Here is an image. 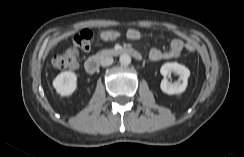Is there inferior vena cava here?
Listing matches in <instances>:
<instances>
[{"label": "inferior vena cava", "mask_w": 244, "mask_h": 157, "mask_svg": "<svg viewBox=\"0 0 244 157\" xmlns=\"http://www.w3.org/2000/svg\"><path fill=\"white\" fill-rule=\"evenodd\" d=\"M112 64H113V58L111 56H106L101 60V65L103 67L110 66Z\"/></svg>", "instance_id": "inferior-vena-cava-1"}]
</instances>
